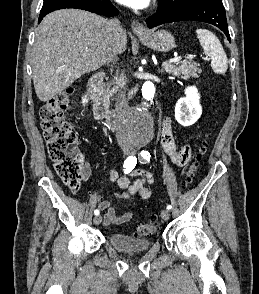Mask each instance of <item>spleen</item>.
Listing matches in <instances>:
<instances>
[{
	"label": "spleen",
	"mask_w": 259,
	"mask_h": 294,
	"mask_svg": "<svg viewBox=\"0 0 259 294\" xmlns=\"http://www.w3.org/2000/svg\"><path fill=\"white\" fill-rule=\"evenodd\" d=\"M196 34L204 53L211 58L212 70L217 74H225L228 60L219 39L207 29H197Z\"/></svg>",
	"instance_id": "3e777b00"
}]
</instances>
